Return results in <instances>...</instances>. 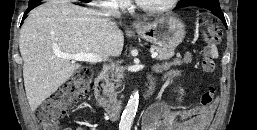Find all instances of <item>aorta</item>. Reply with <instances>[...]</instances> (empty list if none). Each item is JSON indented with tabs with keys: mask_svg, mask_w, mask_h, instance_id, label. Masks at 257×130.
<instances>
[{
	"mask_svg": "<svg viewBox=\"0 0 257 130\" xmlns=\"http://www.w3.org/2000/svg\"><path fill=\"white\" fill-rule=\"evenodd\" d=\"M139 104V93L134 91L128 100L125 110L123 111L119 124L120 130H130Z\"/></svg>",
	"mask_w": 257,
	"mask_h": 130,
	"instance_id": "aorta-1",
	"label": "aorta"
}]
</instances>
